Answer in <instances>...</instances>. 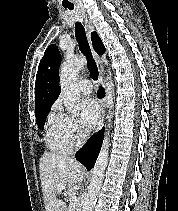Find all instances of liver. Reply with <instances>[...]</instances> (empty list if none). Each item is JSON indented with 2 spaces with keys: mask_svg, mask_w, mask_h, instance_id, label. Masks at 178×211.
<instances>
[{
  "mask_svg": "<svg viewBox=\"0 0 178 211\" xmlns=\"http://www.w3.org/2000/svg\"><path fill=\"white\" fill-rule=\"evenodd\" d=\"M40 180L46 211H67L65 198L58 199L57 185L64 184V197H71L80 189L84 179L82 165L66 156L53 152L44 153L39 162Z\"/></svg>",
  "mask_w": 178,
  "mask_h": 211,
  "instance_id": "1",
  "label": "liver"
}]
</instances>
